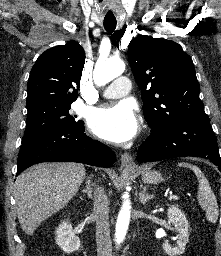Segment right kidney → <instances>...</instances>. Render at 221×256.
<instances>
[{
	"mask_svg": "<svg viewBox=\"0 0 221 256\" xmlns=\"http://www.w3.org/2000/svg\"><path fill=\"white\" fill-rule=\"evenodd\" d=\"M56 243L66 253H73L80 247V239L68 221H62L56 230Z\"/></svg>",
	"mask_w": 221,
	"mask_h": 256,
	"instance_id": "1",
	"label": "right kidney"
}]
</instances>
